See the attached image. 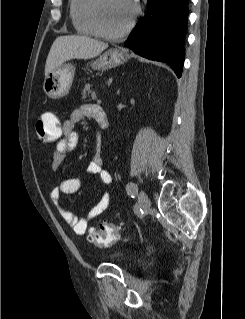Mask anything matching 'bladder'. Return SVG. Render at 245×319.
I'll return each instance as SVG.
<instances>
[{"label":"bladder","instance_id":"31cf9c89","mask_svg":"<svg viewBox=\"0 0 245 319\" xmlns=\"http://www.w3.org/2000/svg\"><path fill=\"white\" fill-rule=\"evenodd\" d=\"M110 258L116 260V261H123L125 260V256L121 252H113L109 255Z\"/></svg>","mask_w":245,"mask_h":319}]
</instances>
